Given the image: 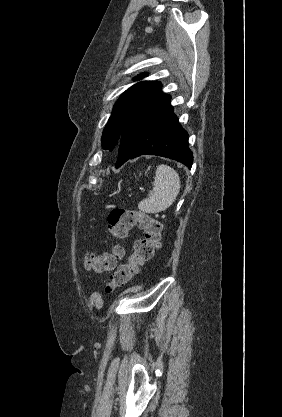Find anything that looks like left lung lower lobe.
<instances>
[{
	"label": "left lung lower lobe",
	"instance_id": "left-lung-lower-lobe-1",
	"mask_svg": "<svg viewBox=\"0 0 282 417\" xmlns=\"http://www.w3.org/2000/svg\"><path fill=\"white\" fill-rule=\"evenodd\" d=\"M116 168L140 155H158L191 168L193 155L188 134L178 122L170 105V96L161 85L128 117L122 130Z\"/></svg>",
	"mask_w": 282,
	"mask_h": 417
}]
</instances>
